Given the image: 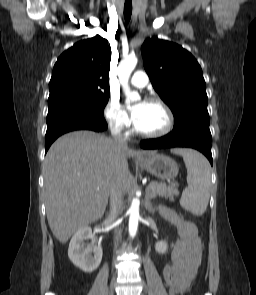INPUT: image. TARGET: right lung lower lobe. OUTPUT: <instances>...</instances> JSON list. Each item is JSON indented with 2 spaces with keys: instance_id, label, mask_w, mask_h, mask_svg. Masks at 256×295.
Masks as SVG:
<instances>
[{
  "instance_id": "98d812e1",
  "label": "right lung lower lobe",
  "mask_w": 256,
  "mask_h": 295,
  "mask_svg": "<svg viewBox=\"0 0 256 295\" xmlns=\"http://www.w3.org/2000/svg\"><path fill=\"white\" fill-rule=\"evenodd\" d=\"M107 123L103 116L55 115L47 118V132L45 136V152L53 141L64 133L74 130H106Z\"/></svg>"
}]
</instances>
